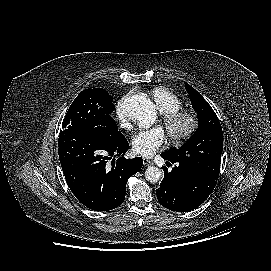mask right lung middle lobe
<instances>
[{"mask_svg":"<svg viewBox=\"0 0 271 271\" xmlns=\"http://www.w3.org/2000/svg\"><path fill=\"white\" fill-rule=\"evenodd\" d=\"M113 97L102 88L82 91L73 101L63 120L60 134L78 132L102 141H113L119 132L111 117Z\"/></svg>","mask_w":271,"mask_h":271,"instance_id":"obj_1","label":"right lung middle lobe"}]
</instances>
